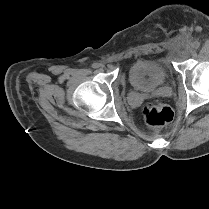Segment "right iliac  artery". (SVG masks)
<instances>
[{"mask_svg":"<svg viewBox=\"0 0 209 209\" xmlns=\"http://www.w3.org/2000/svg\"><path fill=\"white\" fill-rule=\"evenodd\" d=\"M92 67H93V68H98L99 65H98L97 63H94V64H92Z\"/></svg>","mask_w":209,"mask_h":209,"instance_id":"1","label":"right iliac artery"}]
</instances>
